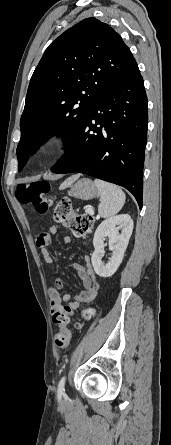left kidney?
<instances>
[{"mask_svg":"<svg viewBox=\"0 0 171 445\" xmlns=\"http://www.w3.org/2000/svg\"><path fill=\"white\" fill-rule=\"evenodd\" d=\"M119 230H121V233H119ZM132 231L133 220L128 214L110 217L98 226L93 238L95 250L91 258L97 275L110 277L117 271L123 260ZM106 237L109 238V248L112 251V256L107 263H103L104 240Z\"/></svg>","mask_w":171,"mask_h":445,"instance_id":"obj_1","label":"left kidney"}]
</instances>
